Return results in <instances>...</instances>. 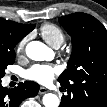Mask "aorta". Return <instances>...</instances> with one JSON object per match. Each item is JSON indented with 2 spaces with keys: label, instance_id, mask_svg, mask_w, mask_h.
Instances as JSON below:
<instances>
[{
  "label": "aorta",
  "instance_id": "762f6f07",
  "mask_svg": "<svg viewBox=\"0 0 107 107\" xmlns=\"http://www.w3.org/2000/svg\"><path fill=\"white\" fill-rule=\"evenodd\" d=\"M26 55L35 61H43L49 54V48L40 41H31L26 46ZM43 105L45 107H58L60 100L57 95L48 93L43 96Z\"/></svg>",
  "mask_w": 107,
  "mask_h": 107
}]
</instances>
